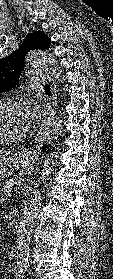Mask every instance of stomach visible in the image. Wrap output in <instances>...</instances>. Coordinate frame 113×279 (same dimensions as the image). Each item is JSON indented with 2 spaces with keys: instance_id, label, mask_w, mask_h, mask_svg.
Returning <instances> with one entry per match:
<instances>
[{
  "instance_id": "obj_1",
  "label": "stomach",
  "mask_w": 113,
  "mask_h": 279,
  "mask_svg": "<svg viewBox=\"0 0 113 279\" xmlns=\"http://www.w3.org/2000/svg\"><path fill=\"white\" fill-rule=\"evenodd\" d=\"M39 156L33 152L19 151L12 155L0 152V181L11 176L20 168H33Z\"/></svg>"
}]
</instances>
